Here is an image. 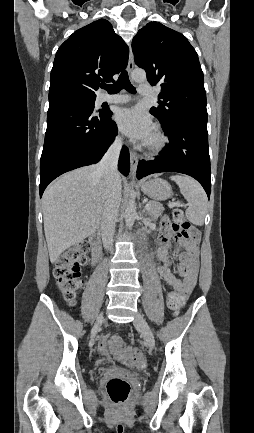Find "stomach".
Here are the masks:
<instances>
[{
	"instance_id": "0dacf381",
	"label": "stomach",
	"mask_w": 254,
	"mask_h": 433,
	"mask_svg": "<svg viewBox=\"0 0 254 433\" xmlns=\"http://www.w3.org/2000/svg\"><path fill=\"white\" fill-rule=\"evenodd\" d=\"M141 188L147 196L157 201H163L172 196L170 184L161 178L144 181L141 184Z\"/></svg>"
}]
</instances>
